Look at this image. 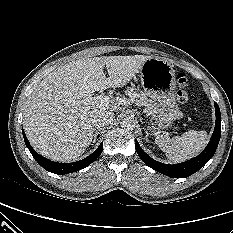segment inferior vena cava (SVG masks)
<instances>
[{"label": "inferior vena cava", "mask_w": 233, "mask_h": 233, "mask_svg": "<svg viewBox=\"0 0 233 233\" xmlns=\"http://www.w3.org/2000/svg\"><path fill=\"white\" fill-rule=\"evenodd\" d=\"M114 119V113L111 111H99L93 117V125L96 128H101L109 125Z\"/></svg>", "instance_id": "inferior-vena-cava-1"}]
</instances>
